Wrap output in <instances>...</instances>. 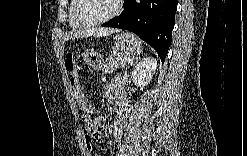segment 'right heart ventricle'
<instances>
[{"label": "right heart ventricle", "mask_w": 247, "mask_h": 156, "mask_svg": "<svg viewBox=\"0 0 247 156\" xmlns=\"http://www.w3.org/2000/svg\"><path fill=\"white\" fill-rule=\"evenodd\" d=\"M77 2H78V0H72L70 2L69 8H68L69 25L74 30L81 28V26L75 21V17H74Z\"/></svg>", "instance_id": "e07e8e85"}]
</instances>
